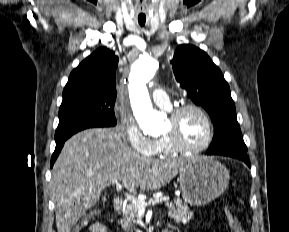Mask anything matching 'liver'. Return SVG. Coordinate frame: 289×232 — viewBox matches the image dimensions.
Listing matches in <instances>:
<instances>
[{"label": "liver", "instance_id": "liver-1", "mask_svg": "<svg viewBox=\"0 0 289 232\" xmlns=\"http://www.w3.org/2000/svg\"><path fill=\"white\" fill-rule=\"evenodd\" d=\"M189 159H152L133 151L118 128H93L68 139L52 170L51 190L58 232H70L100 199L102 190L121 183L129 191L157 190Z\"/></svg>", "mask_w": 289, "mask_h": 232}]
</instances>
